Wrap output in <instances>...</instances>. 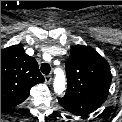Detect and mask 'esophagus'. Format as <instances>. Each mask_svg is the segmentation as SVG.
<instances>
[{"instance_id": "1", "label": "esophagus", "mask_w": 122, "mask_h": 122, "mask_svg": "<svg viewBox=\"0 0 122 122\" xmlns=\"http://www.w3.org/2000/svg\"><path fill=\"white\" fill-rule=\"evenodd\" d=\"M51 81H52V76L51 75L45 76V83L49 84V83H51Z\"/></svg>"}]
</instances>
